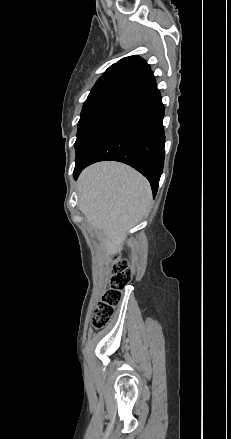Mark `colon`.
I'll return each mask as SVG.
<instances>
[{
    "label": "colon",
    "instance_id": "colon-1",
    "mask_svg": "<svg viewBox=\"0 0 231 439\" xmlns=\"http://www.w3.org/2000/svg\"><path fill=\"white\" fill-rule=\"evenodd\" d=\"M113 271L110 287L103 294L93 313L92 324L97 330L104 328L111 320L121 301L122 292L132 278V269L125 261L116 262Z\"/></svg>",
    "mask_w": 231,
    "mask_h": 439
}]
</instances>
